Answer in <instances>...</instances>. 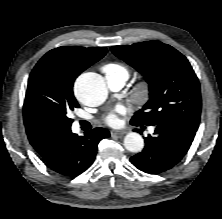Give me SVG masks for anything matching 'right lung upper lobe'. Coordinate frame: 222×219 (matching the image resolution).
I'll return each mask as SVG.
<instances>
[{
  "label": "right lung upper lobe",
  "instance_id": "right-lung-upper-lobe-1",
  "mask_svg": "<svg viewBox=\"0 0 222 219\" xmlns=\"http://www.w3.org/2000/svg\"><path fill=\"white\" fill-rule=\"evenodd\" d=\"M106 52L104 47L63 46L49 51L40 60L54 61V85L59 90L73 93L74 80L78 75L100 60ZM23 113L29 142L45 160L54 152L70 128L37 119L24 111Z\"/></svg>",
  "mask_w": 222,
  "mask_h": 219
}]
</instances>
